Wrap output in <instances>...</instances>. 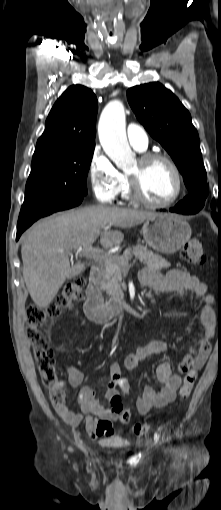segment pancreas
<instances>
[{"label":"pancreas","instance_id":"cf45deb5","mask_svg":"<svg viewBox=\"0 0 221 510\" xmlns=\"http://www.w3.org/2000/svg\"><path fill=\"white\" fill-rule=\"evenodd\" d=\"M135 256L143 264L149 268L160 271L171 266L170 262L162 256L150 251L147 247L137 244L131 248H127L122 255H112L109 264L104 263L102 267L101 287L110 295L121 294L122 273L129 268V260Z\"/></svg>","mask_w":221,"mask_h":510}]
</instances>
